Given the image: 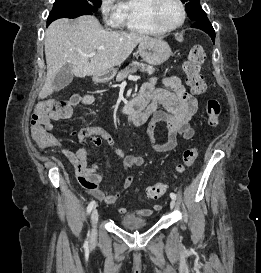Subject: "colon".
<instances>
[{"instance_id": "obj_1", "label": "colon", "mask_w": 261, "mask_h": 273, "mask_svg": "<svg viewBox=\"0 0 261 273\" xmlns=\"http://www.w3.org/2000/svg\"><path fill=\"white\" fill-rule=\"evenodd\" d=\"M206 59V52L203 46L194 45L189 52L187 60L183 64V71L186 75L187 85L194 94H203L206 90V84L200 72L201 65ZM78 102L77 96H73L69 102H58L55 100H46L39 103L31 118L30 132L33 140L41 148H50L56 144L55 138L46 129V121L51 113L55 112L63 118L72 116V105ZM206 114L208 124L212 128L219 125L221 105L216 99H209L206 103ZM198 156L196 147L188 148L183 152L182 163L176 168L177 173L185 172L192 166ZM167 184L157 183L147 188V196L151 199H158L167 191Z\"/></svg>"}]
</instances>
